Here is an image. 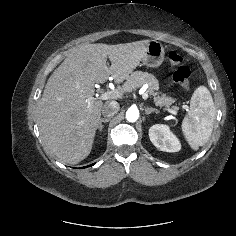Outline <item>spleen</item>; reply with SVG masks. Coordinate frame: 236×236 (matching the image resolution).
<instances>
[{
    "label": "spleen",
    "instance_id": "obj_1",
    "mask_svg": "<svg viewBox=\"0 0 236 236\" xmlns=\"http://www.w3.org/2000/svg\"><path fill=\"white\" fill-rule=\"evenodd\" d=\"M215 119L212 95L205 86L193 93L188 115L182 121V131L194 150L203 146L210 138Z\"/></svg>",
    "mask_w": 236,
    "mask_h": 236
}]
</instances>
